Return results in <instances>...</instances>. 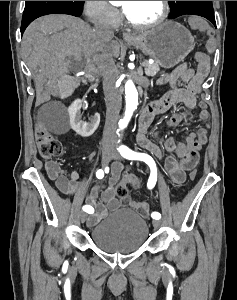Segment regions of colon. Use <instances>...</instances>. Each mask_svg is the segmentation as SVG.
Returning <instances> with one entry per match:
<instances>
[{
    "instance_id": "5ec220e1",
    "label": "colon",
    "mask_w": 237,
    "mask_h": 300,
    "mask_svg": "<svg viewBox=\"0 0 237 300\" xmlns=\"http://www.w3.org/2000/svg\"><path fill=\"white\" fill-rule=\"evenodd\" d=\"M189 24L192 28L203 31L207 34V47L210 51H214L216 48V40L213 32L208 28L206 22L198 16H191L189 18ZM195 59L199 65L204 67L209 66V58L207 55L197 54ZM36 142L40 156L45 159H51L62 154V144L42 123H39L36 127ZM189 177L193 180L196 177V171L191 170ZM129 185L137 187L139 185V179L132 175H126L116 189L117 196L120 198H126L128 196Z\"/></svg>"
}]
</instances>
